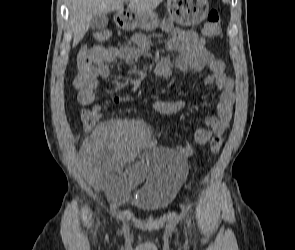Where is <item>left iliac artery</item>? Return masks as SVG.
<instances>
[{"instance_id":"44dca946","label":"left iliac artery","mask_w":295,"mask_h":250,"mask_svg":"<svg viewBox=\"0 0 295 250\" xmlns=\"http://www.w3.org/2000/svg\"><path fill=\"white\" fill-rule=\"evenodd\" d=\"M187 223H188V226L190 227V226H191V222H190V220H188Z\"/></svg>"}]
</instances>
